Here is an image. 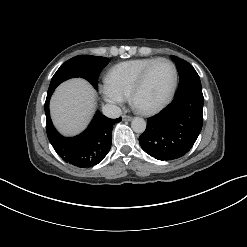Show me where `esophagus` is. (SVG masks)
<instances>
[{"label":"esophagus","mask_w":247,"mask_h":247,"mask_svg":"<svg viewBox=\"0 0 247 247\" xmlns=\"http://www.w3.org/2000/svg\"><path fill=\"white\" fill-rule=\"evenodd\" d=\"M122 119H123L124 121H131V120H132V117H131V116H128V115H123V116H122Z\"/></svg>","instance_id":"1"}]
</instances>
